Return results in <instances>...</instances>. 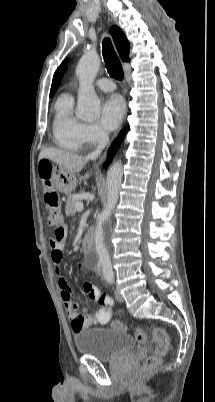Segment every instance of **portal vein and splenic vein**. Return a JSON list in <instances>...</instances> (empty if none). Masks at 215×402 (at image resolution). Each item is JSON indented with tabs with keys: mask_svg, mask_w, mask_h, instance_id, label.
Wrapping results in <instances>:
<instances>
[{
	"mask_svg": "<svg viewBox=\"0 0 215 402\" xmlns=\"http://www.w3.org/2000/svg\"><path fill=\"white\" fill-rule=\"evenodd\" d=\"M75 209H76L78 212H81V211L83 210V203H82V202H77V203L75 204Z\"/></svg>",
	"mask_w": 215,
	"mask_h": 402,
	"instance_id": "1",
	"label": "portal vein and splenic vein"
}]
</instances>
